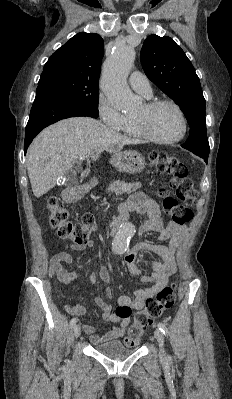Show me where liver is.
Segmentation results:
<instances>
[{"label":"liver","instance_id":"liver-1","mask_svg":"<svg viewBox=\"0 0 232 399\" xmlns=\"http://www.w3.org/2000/svg\"><path fill=\"white\" fill-rule=\"evenodd\" d=\"M127 144H138V140L122 136L92 118H68L45 128L33 140L26 156L34 196L40 198L54 188L58 178L80 162V156L95 162L102 152L115 154Z\"/></svg>","mask_w":232,"mask_h":399}]
</instances>
